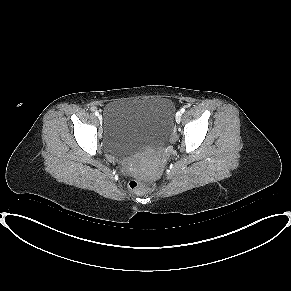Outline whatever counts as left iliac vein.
Listing matches in <instances>:
<instances>
[{"label":"left iliac vein","instance_id":"1","mask_svg":"<svg viewBox=\"0 0 291 291\" xmlns=\"http://www.w3.org/2000/svg\"><path fill=\"white\" fill-rule=\"evenodd\" d=\"M181 118H182V113L181 112H177V114H176V122L180 123L181 122Z\"/></svg>","mask_w":291,"mask_h":291}]
</instances>
